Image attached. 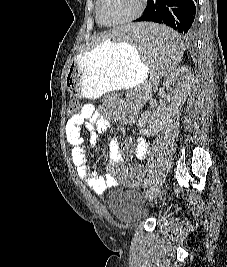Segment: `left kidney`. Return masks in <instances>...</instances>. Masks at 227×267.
<instances>
[{
	"label": "left kidney",
	"mask_w": 227,
	"mask_h": 267,
	"mask_svg": "<svg viewBox=\"0 0 227 267\" xmlns=\"http://www.w3.org/2000/svg\"><path fill=\"white\" fill-rule=\"evenodd\" d=\"M193 78L194 74L189 66L179 67L175 69L174 77L165 78L163 85L169 91L168 104L161 106L154 114L145 111L141 115L139 127L143 134L151 136L158 133L167 125L170 118L179 112L190 92Z\"/></svg>",
	"instance_id": "obj_1"
}]
</instances>
